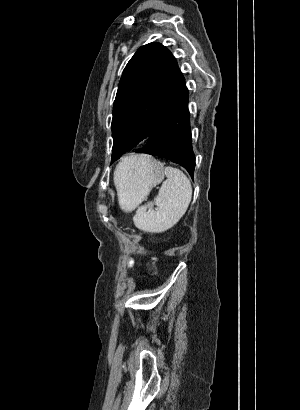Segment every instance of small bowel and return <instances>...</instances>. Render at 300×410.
<instances>
[{"mask_svg": "<svg viewBox=\"0 0 300 410\" xmlns=\"http://www.w3.org/2000/svg\"><path fill=\"white\" fill-rule=\"evenodd\" d=\"M133 264H134L133 260L130 259L128 262V269H131L133 267Z\"/></svg>", "mask_w": 300, "mask_h": 410, "instance_id": "c3829d8e", "label": "small bowel"}]
</instances>
